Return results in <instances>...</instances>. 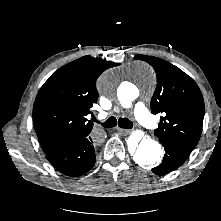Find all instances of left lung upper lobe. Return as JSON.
Masks as SVG:
<instances>
[{
	"mask_svg": "<svg viewBox=\"0 0 221 221\" xmlns=\"http://www.w3.org/2000/svg\"><path fill=\"white\" fill-rule=\"evenodd\" d=\"M154 67L157 87L151 99L153 114L163 113L154 131L162 143L169 142L191 150L197 145L203 125L204 100L195 81L173 64L153 56L137 55Z\"/></svg>",
	"mask_w": 221,
	"mask_h": 221,
	"instance_id": "left-lung-upper-lobe-1",
	"label": "left lung upper lobe"
}]
</instances>
